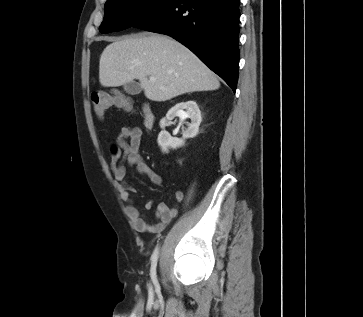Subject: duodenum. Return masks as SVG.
<instances>
[{
	"mask_svg": "<svg viewBox=\"0 0 363 317\" xmlns=\"http://www.w3.org/2000/svg\"><path fill=\"white\" fill-rule=\"evenodd\" d=\"M154 114L149 107H145L144 109V124L148 128H152L154 124Z\"/></svg>",
	"mask_w": 363,
	"mask_h": 317,
	"instance_id": "duodenum-1",
	"label": "duodenum"
}]
</instances>
